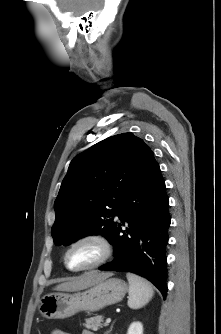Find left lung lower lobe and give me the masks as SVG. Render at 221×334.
Returning <instances> with one entry per match:
<instances>
[{
  "label": "left lung lower lobe",
  "instance_id": "0a47b994",
  "mask_svg": "<svg viewBox=\"0 0 221 334\" xmlns=\"http://www.w3.org/2000/svg\"><path fill=\"white\" fill-rule=\"evenodd\" d=\"M160 167L154 159L122 202L110 243L114 260L100 270L133 272L167 294L169 199ZM127 222L123 231L120 226Z\"/></svg>",
  "mask_w": 221,
  "mask_h": 334
}]
</instances>
